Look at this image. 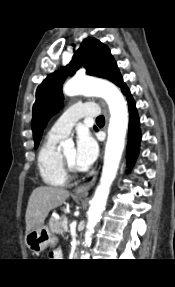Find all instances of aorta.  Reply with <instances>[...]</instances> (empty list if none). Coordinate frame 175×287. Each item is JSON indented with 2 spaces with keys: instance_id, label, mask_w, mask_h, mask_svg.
Returning <instances> with one entry per match:
<instances>
[{
  "instance_id": "obj_1",
  "label": "aorta",
  "mask_w": 175,
  "mask_h": 287,
  "mask_svg": "<svg viewBox=\"0 0 175 287\" xmlns=\"http://www.w3.org/2000/svg\"><path fill=\"white\" fill-rule=\"evenodd\" d=\"M63 91L68 96L80 93L97 95L107 102L110 111L102 174L100 183L91 200L88 211L87 230L83 243L85 247H89L94 228L100 221L101 214L106 206L111 184L119 168L128 127V108L121 91L114 84L107 81L73 78L64 85ZM61 145L63 147L73 146V142L66 140ZM81 257L82 259H89V254L82 251Z\"/></svg>"
}]
</instances>
